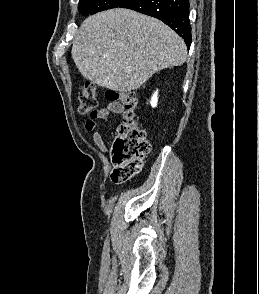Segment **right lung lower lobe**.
I'll return each mask as SVG.
<instances>
[{"label": "right lung lower lobe", "mask_w": 259, "mask_h": 294, "mask_svg": "<svg viewBox=\"0 0 259 294\" xmlns=\"http://www.w3.org/2000/svg\"><path fill=\"white\" fill-rule=\"evenodd\" d=\"M119 7L160 19L177 32L190 48L192 37L188 0H129Z\"/></svg>", "instance_id": "right-lung-lower-lobe-1"}]
</instances>
